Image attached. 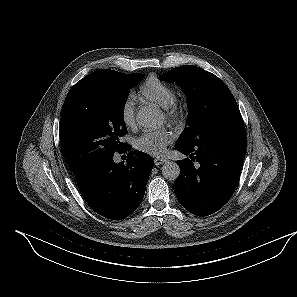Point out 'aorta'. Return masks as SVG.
<instances>
[{
  "label": "aorta",
  "instance_id": "aorta-1",
  "mask_svg": "<svg viewBox=\"0 0 297 297\" xmlns=\"http://www.w3.org/2000/svg\"><path fill=\"white\" fill-rule=\"evenodd\" d=\"M136 121L139 125L146 128H151L159 125L161 123V117L159 112L153 107H142L137 115ZM180 174V168L177 163L173 161H167L162 166V175L167 180H175Z\"/></svg>",
  "mask_w": 297,
  "mask_h": 297
}]
</instances>
